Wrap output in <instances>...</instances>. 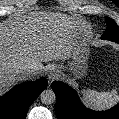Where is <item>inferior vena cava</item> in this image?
<instances>
[{
	"label": "inferior vena cava",
	"instance_id": "1",
	"mask_svg": "<svg viewBox=\"0 0 119 119\" xmlns=\"http://www.w3.org/2000/svg\"><path fill=\"white\" fill-rule=\"evenodd\" d=\"M36 69L34 67H26L21 70V75L23 80H27L35 73Z\"/></svg>",
	"mask_w": 119,
	"mask_h": 119
}]
</instances>
